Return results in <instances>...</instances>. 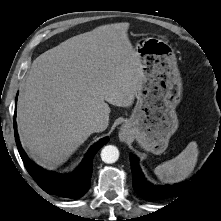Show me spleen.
<instances>
[{"label":"spleen","mask_w":221,"mask_h":221,"mask_svg":"<svg viewBox=\"0 0 221 221\" xmlns=\"http://www.w3.org/2000/svg\"><path fill=\"white\" fill-rule=\"evenodd\" d=\"M198 155L197 143L192 141L178 156L158 165L154 173L158 179L165 183L180 182L193 172L198 161Z\"/></svg>","instance_id":"obj_1"}]
</instances>
